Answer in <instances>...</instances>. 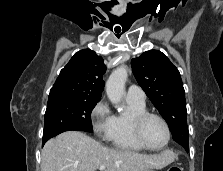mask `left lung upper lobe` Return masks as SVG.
I'll return each mask as SVG.
<instances>
[{"instance_id":"1","label":"left lung upper lobe","mask_w":223,"mask_h":171,"mask_svg":"<svg viewBox=\"0 0 223 171\" xmlns=\"http://www.w3.org/2000/svg\"><path fill=\"white\" fill-rule=\"evenodd\" d=\"M137 82L166 120L173 140L189 147L185 91L178 69L158 50H149L132 59Z\"/></svg>"}]
</instances>
